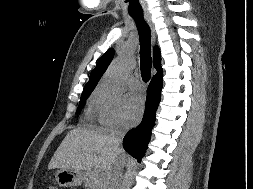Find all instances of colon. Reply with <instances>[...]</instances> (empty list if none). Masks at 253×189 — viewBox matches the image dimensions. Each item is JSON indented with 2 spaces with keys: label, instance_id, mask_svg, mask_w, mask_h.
<instances>
[{
  "label": "colon",
  "instance_id": "obj_1",
  "mask_svg": "<svg viewBox=\"0 0 253 189\" xmlns=\"http://www.w3.org/2000/svg\"><path fill=\"white\" fill-rule=\"evenodd\" d=\"M46 189H58V188L53 186V185H49V186L46 187Z\"/></svg>",
  "mask_w": 253,
  "mask_h": 189
}]
</instances>
